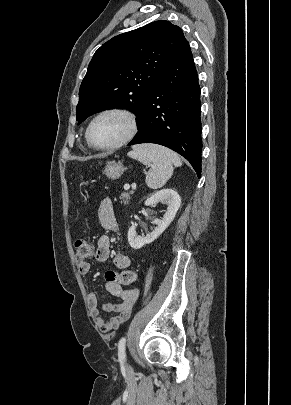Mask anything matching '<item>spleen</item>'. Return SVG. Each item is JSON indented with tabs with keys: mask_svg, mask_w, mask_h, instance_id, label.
Returning <instances> with one entry per match:
<instances>
[{
	"mask_svg": "<svg viewBox=\"0 0 291 405\" xmlns=\"http://www.w3.org/2000/svg\"><path fill=\"white\" fill-rule=\"evenodd\" d=\"M128 155L150 167L146 175V184L152 189L164 186L173 174V166L182 165L175 152L155 144L137 145Z\"/></svg>",
	"mask_w": 291,
	"mask_h": 405,
	"instance_id": "1",
	"label": "spleen"
}]
</instances>
